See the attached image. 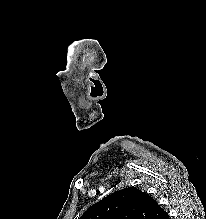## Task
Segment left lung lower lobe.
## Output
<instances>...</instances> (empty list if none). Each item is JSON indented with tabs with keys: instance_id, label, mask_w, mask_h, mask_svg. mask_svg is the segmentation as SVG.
I'll return each mask as SVG.
<instances>
[{
	"instance_id": "0a47b994",
	"label": "left lung lower lobe",
	"mask_w": 206,
	"mask_h": 219,
	"mask_svg": "<svg viewBox=\"0 0 206 219\" xmlns=\"http://www.w3.org/2000/svg\"><path fill=\"white\" fill-rule=\"evenodd\" d=\"M150 219H170L168 213L162 209L155 201L152 207V216Z\"/></svg>"
}]
</instances>
